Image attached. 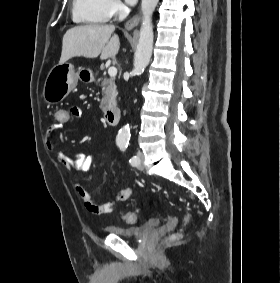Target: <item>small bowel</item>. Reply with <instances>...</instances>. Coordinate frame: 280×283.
Instances as JSON below:
<instances>
[{"label": "small bowel", "instance_id": "c3829d8e", "mask_svg": "<svg viewBox=\"0 0 280 283\" xmlns=\"http://www.w3.org/2000/svg\"><path fill=\"white\" fill-rule=\"evenodd\" d=\"M69 114H73V119L80 121L83 119V112L77 107L69 109ZM63 125L55 123L52 131H58ZM58 139H62V135L58 133ZM47 147L49 151L55 156L59 164L68 171L87 172L91 166L101 158L99 155H86L83 153L66 154L58 146V143L52 139H47ZM75 190L83 201L84 208L94 215H106L114 211L118 202L125 201L132 195L133 189L130 186L123 188L116 196L109 202L97 204L93 201L90 193L80 183L75 184Z\"/></svg>", "mask_w": 280, "mask_h": 283}]
</instances>
